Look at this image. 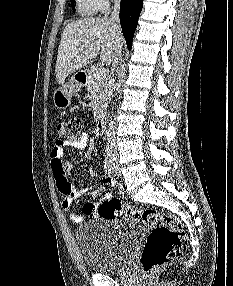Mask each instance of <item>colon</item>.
Returning a JSON list of instances; mask_svg holds the SVG:
<instances>
[{"label":"colon","instance_id":"colon-1","mask_svg":"<svg viewBox=\"0 0 233 286\" xmlns=\"http://www.w3.org/2000/svg\"><path fill=\"white\" fill-rule=\"evenodd\" d=\"M83 121L72 117L56 126L59 141L73 143L81 137ZM98 215L104 219L121 216L141 220L150 228V234L143 248L140 262L144 272H151L179 257L188 245V238L182 221L171 214L155 209H135L118 199H107L97 207Z\"/></svg>","mask_w":233,"mask_h":286}]
</instances>
